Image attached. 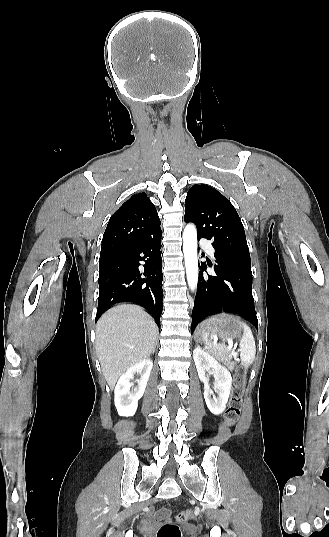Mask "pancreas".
Returning a JSON list of instances; mask_svg holds the SVG:
<instances>
[{
  "instance_id": "cf45deb5",
  "label": "pancreas",
  "mask_w": 329,
  "mask_h": 537,
  "mask_svg": "<svg viewBox=\"0 0 329 537\" xmlns=\"http://www.w3.org/2000/svg\"><path fill=\"white\" fill-rule=\"evenodd\" d=\"M211 353L220 361H222L228 368L233 369L234 364L231 361L232 356L222 351H211Z\"/></svg>"
}]
</instances>
